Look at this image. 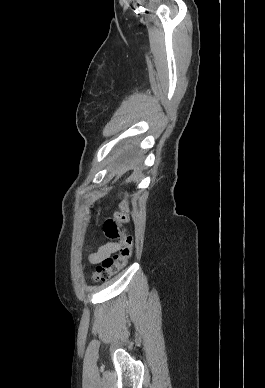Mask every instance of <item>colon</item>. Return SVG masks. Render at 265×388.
<instances>
[{
    "mask_svg": "<svg viewBox=\"0 0 265 388\" xmlns=\"http://www.w3.org/2000/svg\"><path fill=\"white\" fill-rule=\"evenodd\" d=\"M130 218V207L127 199L121 201L115 214L107 218L103 224L105 235L111 240L121 243V250L113 256L106 257L92 272V277L97 281H106L112 275L122 270L128 263L133 248V237L126 234L123 226Z\"/></svg>",
    "mask_w": 265,
    "mask_h": 388,
    "instance_id": "5ec220e1",
    "label": "colon"
}]
</instances>
